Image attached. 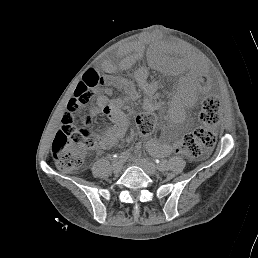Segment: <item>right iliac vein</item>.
I'll use <instances>...</instances> for the list:
<instances>
[{"label":"right iliac vein","instance_id":"1","mask_svg":"<svg viewBox=\"0 0 258 258\" xmlns=\"http://www.w3.org/2000/svg\"><path fill=\"white\" fill-rule=\"evenodd\" d=\"M113 171L115 173H119L122 169H123V161L121 160H116L114 163H113V167H112Z\"/></svg>","mask_w":258,"mask_h":258}]
</instances>
